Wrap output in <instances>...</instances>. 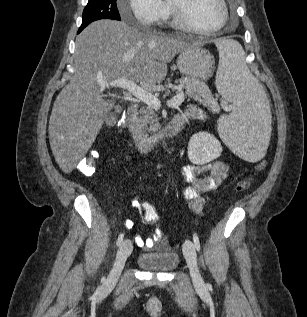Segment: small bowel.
<instances>
[{
  "label": "small bowel",
  "mask_w": 307,
  "mask_h": 317,
  "mask_svg": "<svg viewBox=\"0 0 307 317\" xmlns=\"http://www.w3.org/2000/svg\"><path fill=\"white\" fill-rule=\"evenodd\" d=\"M183 117H199L204 119L205 114L202 110L191 106ZM228 164L223 161H215L201 166L186 165L180 169V176L187 184L182 191L184 197L189 199V207L196 212H200L205 203L203 194L218 188L228 173ZM126 226L132 227V222L127 221ZM135 242L138 246L151 249L156 244L165 246L160 231H155L151 237H136Z\"/></svg>",
  "instance_id": "c3829d8e"
}]
</instances>
